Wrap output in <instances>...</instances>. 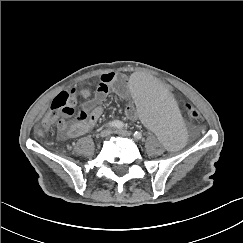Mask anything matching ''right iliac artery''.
Segmentation results:
<instances>
[{
	"instance_id": "82829eb1",
	"label": "right iliac artery",
	"mask_w": 243,
	"mask_h": 243,
	"mask_svg": "<svg viewBox=\"0 0 243 243\" xmlns=\"http://www.w3.org/2000/svg\"><path fill=\"white\" fill-rule=\"evenodd\" d=\"M105 127H112L117 129H122L124 127L123 122L119 120H114L105 125Z\"/></svg>"
}]
</instances>
